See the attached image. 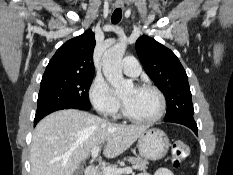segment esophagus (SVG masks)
Returning <instances> with one entry per match:
<instances>
[{"instance_id":"obj_1","label":"esophagus","mask_w":233,"mask_h":175,"mask_svg":"<svg viewBox=\"0 0 233 175\" xmlns=\"http://www.w3.org/2000/svg\"><path fill=\"white\" fill-rule=\"evenodd\" d=\"M123 6H124V3H123V2H116V3H115V7H116V8H123Z\"/></svg>"}]
</instances>
